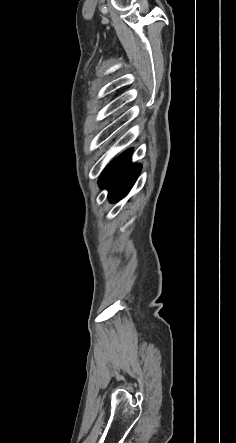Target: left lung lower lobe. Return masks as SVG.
I'll return each mask as SVG.
<instances>
[{
  "instance_id": "left-lung-lower-lobe-1",
  "label": "left lung lower lobe",
  "mask_w": 236,
  "mask_h": 443,
  "mask_svg": "<svg viewBox=\"0 0 236 443\" xmlns=\"http://www.w3.org/2000/svg\"><path fill=\"white\" fill-rule=\"evenodd\" d=\"M132 151L133 148H130L120 154L100 175L98 184L101 188H107L111 202L119 201L127 195L140 174L142 166L131 163Z\"/></svg>"
}]
</instances>
